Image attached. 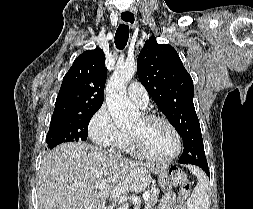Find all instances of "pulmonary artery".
Instances as JSON below:
<instances>
[{
	"mask_svg": "<svg viewBox=\"0 0 253 209\" xmlns=\"http://www.w3.org/2000/svg\"><path fill=\"white\" fill-rule=\"evenodd\" d=\"M127 94L130 100L135 102L141 108H145L149 102V96L144 88L139 82H132L127 89Z\"/></svg>",
	"mask_w": 253,
	"mask_h": 209,
	"instance_id": "e3ab8cb5",
	"label": "pulmonary artery"
}]
</instances>
